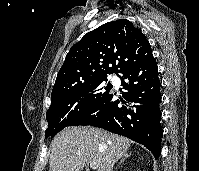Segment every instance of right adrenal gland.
<instances>
[{
	"label": "right adrenal gland",
	"mask_w": 199,
	"mask_h": 171,
	"mask_svg": "<svg viewBox=\"0 0 199 171\" xmlns=\"http://www.w3.org/2000/svg\"><path fill=\"white\" fill-rule=\"evenodd\" d=\"M128 157H130V153L125 152V153L123 154V156H122V158H121V160H120L118 166L125 160V158H128Z\"/></svg>",
	"instance_id": "obj_1"
}]
</instances>
